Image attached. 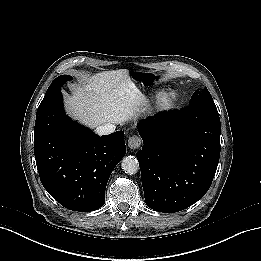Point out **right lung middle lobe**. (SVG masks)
<instances>
[{"mask_svg": "<svg viewBox=\"0 0 261 261\" xmlns=\"http://www.w3.org/2000/svg\"><path fill=\"white\" fill-rule=\"evenodd\" d=\"M73 78L69 75H62L57 77L52 84L49 86L44 99L42 100L41 104L38 107V110H41L49 101L56 98L61 92L60 88L61 86L66 83L69 80H72Z\"/></svg>", "mask_w": 261, "mask_h": 261, "instance_id": "1", "label": "right lung middle lobe"}]
</instances>
